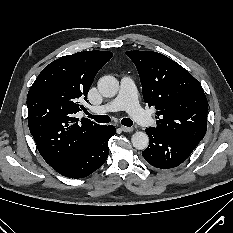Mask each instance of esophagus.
<instances>
[{
  "label": "esophagus",
  "instance_id": "esophagus-1",
  "mask_svg": "<svg viewBox=\"0 0 233 233\" xmlns=\"http://www.w3.org/2000/svg\"><path fill=\"white\" fill-rule=\"evenodd\" d=\"M120 128L123 132H132L133 131L132 127L121 126Z\"/></svg>",
  "mask_w": 233,
  "mask_h": 233
}]
</instances>
